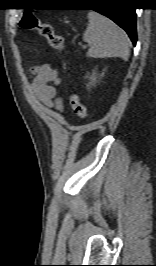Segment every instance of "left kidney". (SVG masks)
<instances>
[{
	"label": "left kidney",
	"instance_id": "obj_1",
	"mask_svg": "<svg viewBox=\"0 0 156 266\" xmlns=\"http://www.w3.org/2000/svg\"><path fill=\"white\" fill-rule=\"evenodd\" d=\"M97 73L96 71H93L91 76H90V85H95V83L97 82Z\"/></svg>",
	"mask_w": 156,
	"mask_h": 266
}]
</instances>
